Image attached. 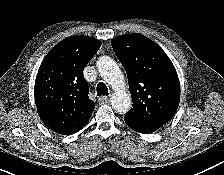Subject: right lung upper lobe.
I'll use <instances>...</instances> for the list:
<instances>
[{"label":"right lung upper lobe","instance_id":"right-lung-upper-lobe-1","mask_svg":"<svg viewBox=\"0 0 224 175\" xmlns=\"http://www.w3.org/2000/svg\"><path fill=\"white\" fill-rule=\"evenodd\" d=\"M88 36H72L46 55L35 80L37 111L47 127L69 135L89 121L95 104L88 97L83 69L101 46Z\"/></svg>","mask_w":224,"mask_h":175}]
</instances>
